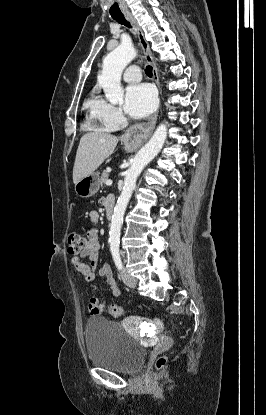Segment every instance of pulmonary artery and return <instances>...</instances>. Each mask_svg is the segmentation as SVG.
Segmentation results:
<instances>
[{
	"mask_svg": "<svg viewBox=\"0 0 266 415\" xmlns=\"http://www.w3.org/2000/svg\"><path fill=\"white\" fill-rule=\"evenodd\" d=\"M123 79L127 82H138L141 79L139 67L136 65L129 66L123 73Z\"/></svg>",
	"mask_w": 266,
	"mask_h": 415,
	"instance_id": "e3ab8cb5",
	"label": "pulmonary artery"
}]
</instances>
